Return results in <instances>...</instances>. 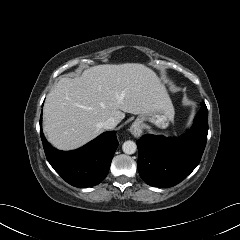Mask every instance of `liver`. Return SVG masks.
<instances>
[{
    "label": "liver",
    "mask_w": 240,
    "mask_h": 240,
    "mask_svg": "<svg viewBox=\"0 0 240 240\" xmlns=\"http://www.w3.org/2000/svg\"><path fill=\"white\" fill-rule=\"evenodd\" d=\"M173 108L156 73L139 63L98 65L76 78H61L48 94L43 131L58 149L72 150L100 135L109 118Z\"/></svg>",
    "instance_id": "obj_1"
}]
</instances>
